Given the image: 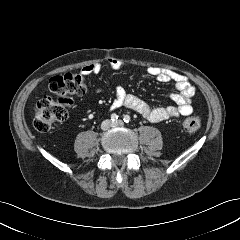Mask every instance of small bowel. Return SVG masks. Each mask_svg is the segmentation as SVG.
Here are the masks:
<instances>
[{
	"mask_svg": "<svg viewBox=\"0 0 240 240\" xmlns=\"http://www.w3.org/2000/svg\"><path fill=\"white\" fill-rule=\"evenodd\" d=\"M108 64L113 69L123 68V63L117 59H109ZM101 68L102 65L99 62L89 63L82 68V73L85 75H98ZM147 72L158 82H173L175 84L178 92L173 93L171 95V99L176 105L153 107L139 97L127 93L123 87L118 86L115 89V98L111 104L112 110L126 107L150 122H160L191 114V100L195 94V89L186 76L171 70L157 67H149ZM97 91H100V89Z\"/></svg>",
	"mask_w": 240,
	"mask_h": 240,
	"instance_id": "1",
	"label": "small bowel"
}]
</instances>
